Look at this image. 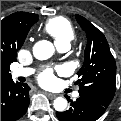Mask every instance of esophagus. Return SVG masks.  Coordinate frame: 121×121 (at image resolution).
<instances>
[{"label":"esophagus","instance_id":"34e87169","mask_svg":"<svg viewBox=\"0 0 121 121\" xmlns=\"http://www.w3.org/2000/svg\"><path fill=\"white\" fill-rule=\"evenodd\" d=\"M46 94H47L50 98H55V97H57V95L54 94V93L46 92Z\"/></svg>","mask_w":121,"mask_h":121}]
</instances>
